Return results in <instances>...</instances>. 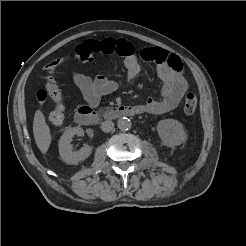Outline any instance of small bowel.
I'll return each mask as SVG.
<instances>
[{
  "mask_svg": "<svg viewBox=\"0 0 246 246\" xmlns=\"http://www.w3.org/2000/svg\"><path fill=\"white\" fill-rule=\"evenodd\" d=\"M79 47L90 50L92 55L117 54L122 56L128 80H133L140 72L135 49L125 39L88 40ZM140 56L143 60L155 64L157 74L163 82L159 99L148 98L144 104L139 105L143 110L142 113L162 115L174 110L187 90L182 61L175 54L161 48H145L141 50ZM73 80L88 107L93 108L98 106L103 96L113 93L118 88V84L114 80L102 74L92 79L80 71H75Z\"/></svg>",
  "mask_w": 246,
  "mask_h": 246,
  "instance_id": "1",
  "label": "small bowel"
}]
</instances>
